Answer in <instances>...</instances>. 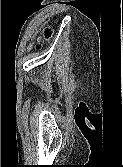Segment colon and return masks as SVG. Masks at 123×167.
<instances>
[{
  "label": "colon",
  "mask_w": 123,
  "mask_h": 167,
  "mask_svg": "<svg viewBox=\"0 0 123 167\" xmlns=\"http://www.w3.org/2000/svg\"><path fill=\"white\" fill-rule=\"evenodd\" d=\"M54 35V30L52 27L47 26L44 28L41 36V41L48 42L52 39Z\"/></svg>",
  "instance_id": "1"
}]
</instances>
